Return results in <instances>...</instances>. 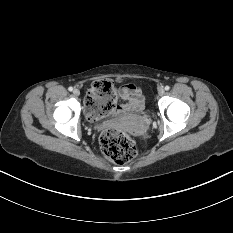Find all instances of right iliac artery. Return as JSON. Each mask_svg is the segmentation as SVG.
Instances as JSON below:
<instances>
[{"mask_svg":"<svg viewBox=\"0 0 233 233\" xmlns=\"http://www.w3.org/2000/svg\"><path fill=\"white\" fill-rule=\"evenodd\" d=\"M68 90L71 92L73 91V87H69Z\"/></svg>","mask_w":233,"mask_h":233,"instance_id":"1","label":"right iliac artery"}]
</instances>
